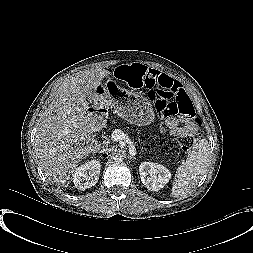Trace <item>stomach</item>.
<instances>
[{
  "label": "stomach",
  "instance_id": "obj_1",
  "mask_svg": "<svg viewBox=\"0 0 253 253\" xmlns=\"http://www.w3.org/2000/svg\"><path fill=\"white\" fill-rule=\"evenodd\" d=\"M112 84L113 81L108 80L104 86L98 87L90 101L95 106H110L118 116L139 126L153 121L154 112L146 98Z\"/></svg>",
  "mask_w": 253,
  "mask_h": 253
}]
</instances>
